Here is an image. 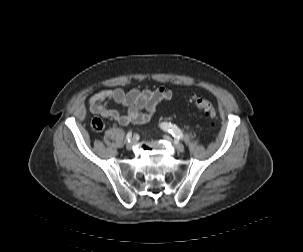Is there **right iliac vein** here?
Returning <instances> with one entry per match:
<instances>
[{
  "label": "right iliac vein",
  "mask_w": 303,
  "mask_h": 252,
  "mask_svg": "<svg viewBox=\"0 0 303 252\" xmlns=\"http://www.w3.org/2000/svg\"><path fill=\"white\" fill-rule=\"evenodd\" d=\"M135 145V140H131L129 143H127L126 148L127 150H131L133 146Z\"/></svg>",
  "instance_id": "63e3f726"
}]
</instances>
